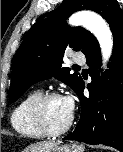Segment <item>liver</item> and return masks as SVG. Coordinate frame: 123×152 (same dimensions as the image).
<instances>
[{"mask_svg":"<svg viewBox=\"0 0 123 152\" xmlns=\"http://www.w3.org/2000/svg\"><path fill=\"white\" fill-rule=\"evenodd\" d=\"M58 144L59 142L51 141L38 142L25 148L23 152H51Z\"/></svg>","mask_w":123,"mask_h":152,"instance_id":"obj_1","label":"liver"}]
</instances>
